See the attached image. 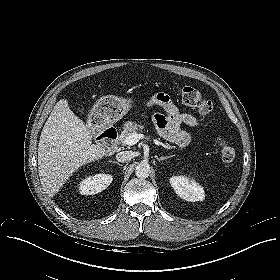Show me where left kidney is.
I'll list each match as a JSON object with an SVG mask.
<instances>
[{
  "mask_svg": "<svg viewBox=\"0 0 280 280\" xmlns=\"http://www.w3.org/2000/svg\"><path fill=\"white\" fill-rule=\"evenodd\" d=\"M170 184L176 194L186 201L196 202L205 199L203 187L193 178L183 175L173 176L170 178Z\"/></svg>",
  "mask_w": 280,
  "mask_h": 280,
  "instance_id": "obj_1",
  "label": "left kidney"
}]
</instances>
